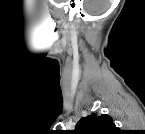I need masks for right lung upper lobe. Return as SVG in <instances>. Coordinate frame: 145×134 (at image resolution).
Instances as JSON below:
<instances>
[{
	"label": "right lung upper lobe",
	"mask_w": 145,
	"mask_h": 134,
	"mask_svg": "<svg viewBox=\"0 0 145 134\" xmlns=\"http://www.w3.org/2000/svg\"><path fill=\"white\" fill-rule=\"evenodd\" d=\"M119 129L107 114H91L77 123L75 134H116Z\"/></svg>",
	"instance_id": "cb5924a9"
}]
</instances>
